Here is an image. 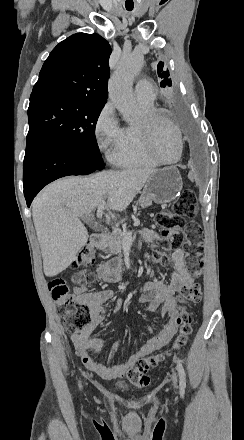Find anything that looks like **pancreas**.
<instances>
[{
	"label": "pancreas",
	"mask_w": 244,
	"mask_h": 440,
	"mask_svg": "<svg viewBox=\"0 0 244 440\" xmlns=\"http://www.w3.org/2000/svg\"><path fill=\"white\" fill-rule=\"evenodd\" d=\"M123 238H125V234H121V232H112V234L106 236L105 242L101 244L100 248L105 254H120Z\"/></svg>",
	"instance_id": "obj_1"
}]
</instances>
